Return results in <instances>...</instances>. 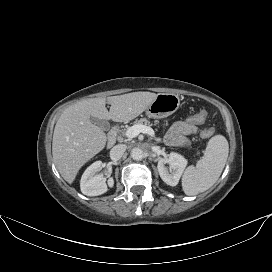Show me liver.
I'll use <instances>...</instances> for the list:
<instances>
[{
	"instance_id": "6515ba94",
	"label": "liver",
	"mask_w": 272,
	"mask_h": 272,
	"mask_svg": "<svg viewBox=\"0 0 272 272\" xmlns=\"http://www.w3.org/2000/svg\"><path fill=\"white\" fill-rule=\"evenodd\" d=\"M157 94L132 92L107 98H92L67 107L59 117L52 141V154L61 176L73 183L80 168L102 151L107 142L104 131L91 117L127 122L148 109ZM110 104V110L106 108Z\"/></svg>"
}]
</instances>
